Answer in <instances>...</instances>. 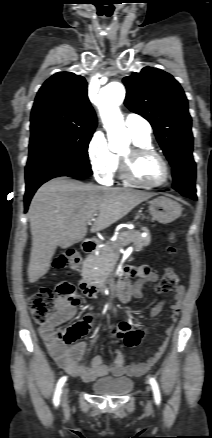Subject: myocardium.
Returning <instances> with one entry per match:
<instances>
[{"mask_svg": "<svg viewBox=\"0 0 212 438\" xmlns=\"http://www.w3.org/2000/svg\"><path fill=\"white\" fill-rule=\"evenodd\" d=\"M149 155L157 157L161 161L164 169V178L158 183L143 182L139 180L134 173L136 161L143 156ZM120 173L121 177L127 182L146 188L161 187L168 183L171 176L169 163L161 153L151 147H142L138 145L132 146L127 153L120 156Z\"/></svg>", "mask_w": 212, "mask_h": 438, "instance_id": "f54148a6", "label": "myocardium"}]
</instances>
